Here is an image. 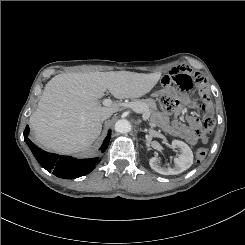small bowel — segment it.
I'll use <instances>...</instances> for the list:
<instances>
[{"label": "small bowel", "mask_w": 245, "mask_h": 245, "mask_svg": "<svg viewBox=\"0 0 245 245\" xmlns=\"http://www.w3.org/2000/svg\"><path fill=\"white\" fill-rule=\"evenodd\" d=\"M159 86L162 89H169L173 86H178L182 91L189 92L193 87L205 89L206 80L204 76L198 72L191 70L186 66H179L173 68L169 74L162 76L159 79ZM199 110L206 113L209 111L207 103L198 105ZM184 111V106H181L175 112V118L172 122L166 114L161 113L157 117L159 126L168 134L182 138L187 143L193 145L198 140L197 131L201 126V121L194 115L187 117V124L179 120V115Z\"/></svg>", "instance_id": "obj_1"}]
</instances>
